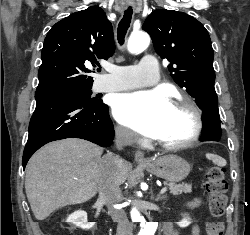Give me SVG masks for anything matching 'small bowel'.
I'll return each instance as SVG.
<instances>
[{"label":"small bowel","mask_w":250,"mask_h":235,"mask_svg":"<svg viewBox=\"0 0 250 235\" xmlns=\"http://www.w3.org/2000/svg\"><path fill=\"white\" fill-rule=\"evenodd\" d=\"M202 203L201 198H195L193 201L190 202L191 207H198ZM164 234L165 235H179L178 232L171 226V224L164 225ZM192 235H199V228L198 226L193 227Z\"/></svg>","instance_id":"c3829d8e"}]
</instances>
